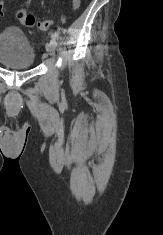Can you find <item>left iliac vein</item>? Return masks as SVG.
Here are the masks:
<instances>
[{
  "label": "left iliac vein",
  "instance_id": "obj_1",
  "mask_svg": "<svg viewBox=\"0 0 163 235\" xmlns=\"http://www.w3.org/2000/svg\"><path fill=\"white\" fill-rule=\"evenodd\" d=\"M55 44L50 41L49 43L46 44V50L48 52L49 55L53 56L55 53ZM45 57H47V55H45Z\"/></svg>",
  "mask_w": 163,
  "mask_h": 235
}]
</instances>
